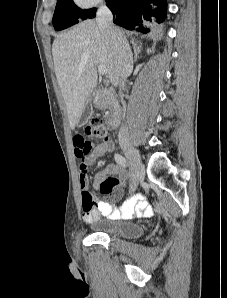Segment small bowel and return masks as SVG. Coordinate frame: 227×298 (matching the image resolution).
Instances as JSON below:
<instances>
[{
  "instance_id": "c3829d8e",
  "label": "small bowel",
  "mask_w": 227,
  "mask_h": 298,
  "mask_svg": "<svg viewBox=\"0 0 227 298\" xmlns=\"http://www.w3.org/2000/svg\"><path fill=\"white\" fill-rule=\"evenodd\" d=\"M84 139H87V134H74V139L71 142V147H74V158H84L81 159L82 162L79 166L83 221L90 223L99 219L101 216L110 219H130L140 216H150L152 208L148 205L144 196L139 193H131L119 209L108 201L94 200L92 193L89 191L88 167L106 153L112 152L114 144L112 141L106 140L93 147V142H84ZM107 174H117L122 178L127 177L126 172L120 166L110 164L104 171L97 173L95 177L96 181L102 180ZM121 196V190L113 193L114 198L118 199Z\"/></svg>"
}]
</instances>
